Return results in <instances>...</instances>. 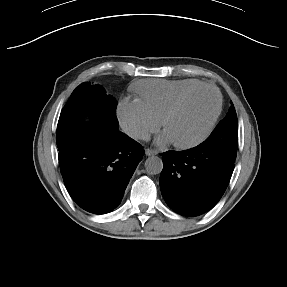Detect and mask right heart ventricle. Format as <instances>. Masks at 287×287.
<instances>
[{"mask_svg":"<svg viewBox=\"0 0 287 287\" xmlns=\"http://www.w3.org/2000/svg\"><path fill=\"white\" fill-rule=\"evenodd\" d=\"M203 84L199 80H144L135 85L139 100L160 121L171 105L188 89Z\"/></svg>","mask_w":287,"mask_h":287,"instance_id":"obj_1","label":"right heart ventricle"}]
</instances>
